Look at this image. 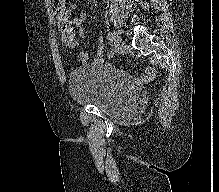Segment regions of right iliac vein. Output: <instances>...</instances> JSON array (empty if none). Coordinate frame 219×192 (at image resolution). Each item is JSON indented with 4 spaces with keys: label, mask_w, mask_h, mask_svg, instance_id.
<instances>
[{
    "label": "right iliac vein",
    "mask_w": 219,
    "mask_h": 192,
    "mask_svg": "<svg viewBox=\"0 0 219 192\" xmlns=\"http://www.w3.org/2000/svg\"><path fill=\"white\" fill-rule=\"evenodd\" d=\"M113 42L115 51L119 50L122 46V39L117 31L113 32Z\"/></svg>",
    "instance_id": "right-iliac-vein-1"
}]
</instances>
